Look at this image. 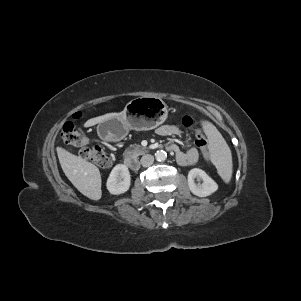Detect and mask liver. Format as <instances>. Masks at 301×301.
Masks as SVG:
<instances>
[{
	"mask_svg": "<svg viewBox=\"0 0 301 301\" xmlns=\"http://www.w3.org/2000/svg\"><path fill=\"white\" fill-rule=\"evenodd\" d=\"M124 113H107L105 115L89 119L84 126L90 127L100 124L108 119L119 117ZM57 155L66 177L86 197L99 200L102 195L101 175L99 169L91 162L76 156L67 150L57 147Z\"/></svg>",
	"mask_w": 301,
	"mask_h": 301,
	"instance_id": "1",
	"label": "liver"
}]
</instances>
